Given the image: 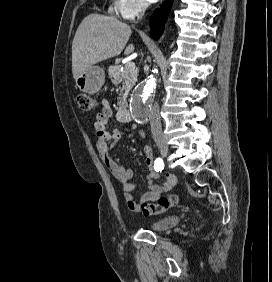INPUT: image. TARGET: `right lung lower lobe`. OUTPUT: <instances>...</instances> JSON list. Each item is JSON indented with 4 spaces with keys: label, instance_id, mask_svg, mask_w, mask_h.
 Masks as SVG:
<instances>
[{
    "label": "right lung lower lobe",
    "instance_id": "1",
    "mask_svg": "<svg viewBox=\"0 0 272 282\" xmlns=\"http://www.w3.org/2000/svg\"><path fill=\"white\" fill-rule=\"evenodd\" d=\"M172 0H168L162 7L161 10L157 9L152 15L150 24L152 26L151 36L154 39H158L164 30V22L166 21Z\"/></svg>",
    "mask_w": 272,
    "mask_h": 282
}]
</instances>
